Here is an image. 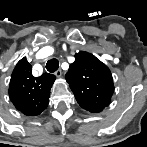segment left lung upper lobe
Wrapping results in <instances>:
<instances>
[{
    "instance_id": "left-lung-upper-lobe-1",
    "label": "left lung upper lobe",
    "mask_w": 147,
    "mask_h": 147,
    "mask_svg": "<svg viewBox=\"0 0 147 147\" xmlns=\"http://www.w3.org/2000/svg\"><path fill=\"white\" fill-rule=\"evenodd\" d=\"M75 58L66 73V81L83 109L99 113L109 105L114 92L111 72L88 52L76 53Z\"/></svg>"
}]
</instances>
